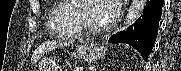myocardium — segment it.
Listing matches in <instances>:
<instances>
[{
    "mask_svg": "<svg viewBox=\"0 0 181 71\" xmlns=\"http://www.w3.org/2000/svg\"><path fill=\"white\" fill-rule=\"evenodd\" d=\"M87 1H91V0H75V1H73V3H72L73 20H74L77 28L79 29L80 33H83V34L89 35V36H95V35L102 34L103 32L108 30L107 25H103L100 27L89 26L87 23H85V21L82 18V15H81V10L83 7L82 3L87 2Z\"/></svg>",
    "mask_w": 181,
    "mask_h": 71,
    "instance_id": "obj_1",
    "label": "myocardium"
}]
</instances>
